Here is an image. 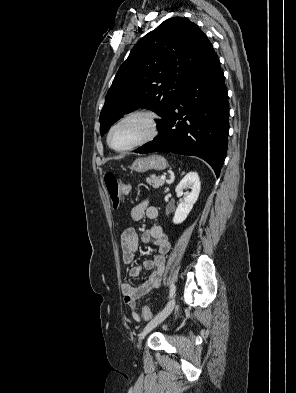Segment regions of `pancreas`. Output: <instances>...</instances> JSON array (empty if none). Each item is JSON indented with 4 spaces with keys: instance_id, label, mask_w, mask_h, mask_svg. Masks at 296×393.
Returning a JSON list of instances; mask_svg holds the SVG:
<instances>
[{
    "instance_id": "obj_1",
    "label": "pancreas",
    "mask_w": 296,
    "mask_h": 393,
    "mask_svg": "<svg viewBox=\"0 0 296 393\" xmlns=\"http://www.w3.org/2000/svg\"><path fill=\"white\" fill-rule=\"evenodd\" d=\"M146 182L154 188H159L160 186L164 185L165 181L161 178L152 175L146 179Z\"/></svg>"
}]
</instances>
